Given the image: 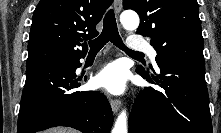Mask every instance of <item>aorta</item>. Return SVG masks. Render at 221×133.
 Returning <instances> with one entry per match:
<instances>
[{
  "label": "aorta",
  "instance_id": "aorta-1",
  "mask_svg": "<svg viewBox=\"0 0 221 133\" xmlns=\"http://www.w3.org/2000/svg\"><path fill=\"white\" fill-rule=\"evenodd\" d=\"M121 24L125 29L134 30L137 29L140 23L139 16L133 11H125L120 16ZM112 133H127V114L126 110H123L114 125Z\"/></svg>",
  "mask_w": 221,
  "mask_h": 133
}]
</instances>
